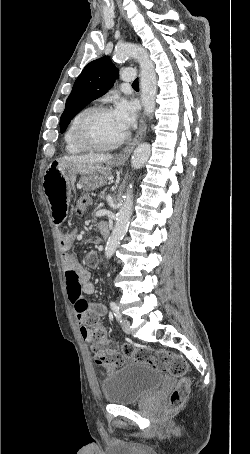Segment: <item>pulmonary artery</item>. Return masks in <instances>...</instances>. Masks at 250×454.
I'll list each match as a JSON object with an SVG mask.
<instances>
[{"label": "pulmonary artery", "mask_w": 250, "mask_h": 454, "mask_svg": "<svg viewBox=\"0 0 250 454\" xmlns=\"http://www.w3.org/2000/svg\"><path fill=\"white\" fill-rule=\"evenodd\" d=\"M121 78L125 82H131L135 80L136 73L132 68H125L121 72Z\"/></svg>", "instance_id": "pulmonary-artery-1"}]
</instances>
